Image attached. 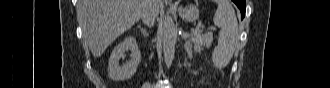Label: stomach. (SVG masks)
I'll list each match as a JSON object with an SVG mask.
<instances>
[{
	"label": "stomach",
	"instance_id": "obj_1",
	"mask_svg": "<svg viewBox=\"0 0 330 88\" xmlns=\"http://www.w3.org/2000/svg\"><path fill=\"white\" fill-rule=\"evenodd\" d=\"M178 13L181 18L187 22H194L199 18V10L197 6L190 4L185 8L180 7Z\"/></svg>",
	"mask_w": 330,
	"mask_h": 88
}]
</instances>
